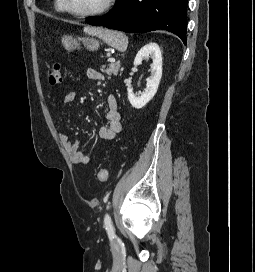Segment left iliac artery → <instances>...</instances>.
<instances>
[{"mask_svg":"<svg viewBox=\"0 0 255 272\" xmlns=\"http://www.w3.org/2000/svg\"><path fill=\"white\" fill-rule=\"evenodd\" d=\"M107 200H108V196L105 197V201ZM104 226L109 235L111 236L114 235L113 223L109 214H106L104 217Z\"/></svg>","mask_w":255,"mask_h":272,"instance_id":"44dca946","label":"left iliac artery"}]
</instances>
